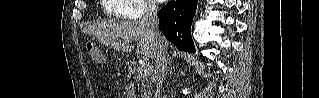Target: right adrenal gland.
Instances as JSON below:
<instances>
[{"label": "right adrenal gland", "instance_id": "right-adrenal-gland-1", "mask_svg": "<svg viewBox=\"0 0 319 98\" xmlns=\"http://www.w3.org/2000/svg\"><path fill=\"white\" fill-rule=\"evenodd\" d=\"M168 68H170V58H169V65H168Z\"/></svg>", "mask_w": 319, "mask_h": 98}]
</instances>
